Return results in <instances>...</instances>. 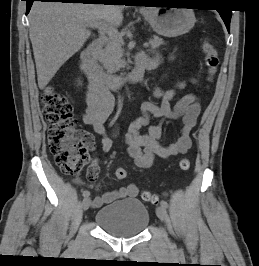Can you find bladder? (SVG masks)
<instances>
[{"mask_svg":"<svg viewBox=\"0 0 259 266\" xmlns=\"http://www.w3.org/2000/svg\"><path fill=\"white\" fill-rule=\"evenodd\" d=\"M95 222L113 236L128 238L146 229L149 212L138 199H125L99 208L95 214Z\"/></svg>","mask_w":259,"mask_h":266,"instance_id":"1","label":"bladder"}]
</instances>
